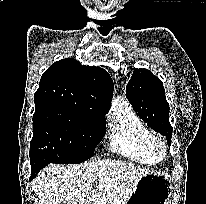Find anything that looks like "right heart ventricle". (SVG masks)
<instances>
[{
    "mask_svg": "<svg viewBox=\"0 0 206 204\" xmlns=\"http://www.w3.org/2000/svg\"><path fill=\"white\" fill-rule=\"evenodd\" d=\"M109 147L122 157L142 165H154L158 160L151 153L155 136L128 103L122 102L110 120Z\"/></svg>",
    "mask_w": 206,
    "mask_h": 204,
    "instance_id": "obj_1",
    "label": "right heart ventricle"
}]
</instances>
